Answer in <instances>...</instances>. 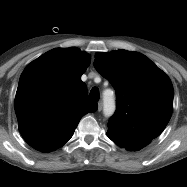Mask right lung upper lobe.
Segmentation results:
<instances>
[{
	"mask_svg": "<svg viewBox=\"0 0 187 187\" xmlns=\"http://www.w3.org/2000/svg\"><path fill=\"white\" fill-rule=\"evenodd\" d=\"M90 56L78 48L50 50L26 66L15 97L18 128L33 148L50 152L64 145L80 119L97 110L81 80Z\"/></svg>",
	"mask_w": 187,
	"mask_h": 187,
	"instance_id": "cb5924a9",
	"label": "right lung upper lobe"
}]
</instances>
